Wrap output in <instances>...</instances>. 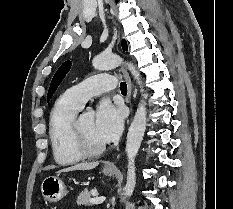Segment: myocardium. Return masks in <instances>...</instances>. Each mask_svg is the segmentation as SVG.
<instances>
[{"instance_id":"myocardium-1","label":"myocardium","mask_w":233,"mask_h":209,"mask_svg":"<svg viewBox=\"0 0 233 209\" xmlns=\"http://www.w3.org/2000/svg\"><path fill=\"white\" fill-rule=\"evenodd\" d=\"M72 142L74 149L82 157H96L101 155L106 149L105 145L98 147L90 146L82 135L79 127V121L77 120H75L72 125Z\"/></svg>"}]
</instances>
